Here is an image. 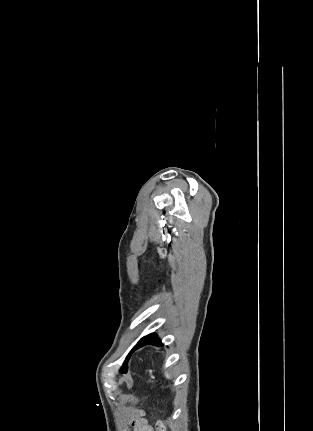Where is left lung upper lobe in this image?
<instances>
[{
	"label": "left lung upper lobe",
	"instance_id": "obj_1",
	"mask_svg": "<svg viewBox=\"0 0 313 431\" xmlns=\"http://www.w3.org/2000/svg\"><path fill=\"white\" fill-rule=\"evenodd\" d=\"M131 354V353H130ZM130 354L126 357V360L122 366V368L120 369V372L122 371H127L128 365H127V360L130 358Z\"/></svg>",
	"mask_w": 313,
	"mask_h": 431
}]
</instances>
